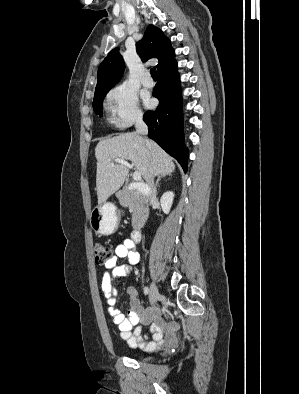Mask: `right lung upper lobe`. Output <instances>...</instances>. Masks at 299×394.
Returning a JSON list of instances; mask_svg holds the SVG:
<instances>
[{
    "label": "right lung upper lobe",
    "instance_id": "cb5924a9",
    "mask_svg": "<svg viewBox=\"0 0 299 394\" xmlns=\"http://www.w3.org/2000/svg\"><path fill=\"white\" fill-rule=\"evenodd\" d=\"M136 51L143 62L151 58L159 59L156 66L158 71L175 60L170 40L153 25L147 27L144 37L136 43ZM124 69V60L115 48L99 66L95 93L110 90L121 79Z\"/></svg>",
    "mask_w": 299,
    "mask_h": 394
}]
</instances>
